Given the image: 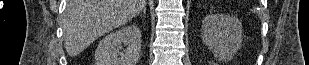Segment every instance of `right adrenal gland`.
Segmentation results:
<instances>
[{
	"label": "right adrenal gland",
	"mask_w": 309,
	"mask_h": 65,
	"mask_svg": "<svg viewBox=\"0 0 309 65\" xmlns=\"http://www.w3.org/2000/svg\"><path fill=\"white\" fill-rule=\"evenodd\" d=\"M143 13L146 14V8L145 7L143 8Z\"/></svg>",
	"instance_id": "1"
}]
</instances>
